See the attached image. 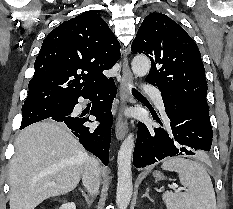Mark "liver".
<instances>
[{"label":"liver","instance_id":"obj_1","mask_svg":"<svg viewBox=\"0 0 233 209\" xmlns=\"http://www.w3.org/2000/svg\"><path fill=\"white\" fill-rule=\"evenodd\" d=\"M14 146L9 166L10 209H34L50 197L74 190L90 158L64 125L51 121L24 129Z\"/></svg>","mask_w":233,"mask_h":209}]
</instances>
